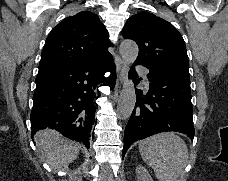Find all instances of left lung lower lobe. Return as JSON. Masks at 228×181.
I'll return each instance as SVG.
<instances>
[{
  "instance_id": "1",
  "label": "left lung lower lobe",
  "mask_w": 228,
  "mask_h": 181,
  "mask_svg": "<svg viewBox=\"0 0 228 181\" xmlns=\"http://www.w3.org/2000/svg\"><path fill=\"white\" fill-rule=\"evenodd\" d=\"M135 64L145 66L149 73V88L136 90L135 108L124 132L123 157L136 141L151 135L174 131L194 136L193 111L189 76L174 69L144 61ZM130 77L137 85L141 78L132 68Z\"/></svg>"
}]
</instances>
